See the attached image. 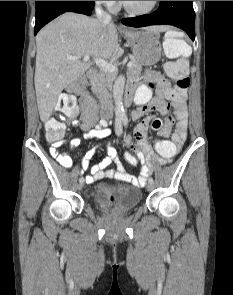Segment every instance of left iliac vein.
<instances>
[{
    "instance_id": "1",
    "label": "left iliac vein",
    "mask_w": 233,
    "mask_h": 295,
    "mask_svg": "<svg viewBox=\"0 0 233 295\" xmlns=\"http://www.w3.org/2000/svg\"><path fill=\"white\" fill-rule=\"evenodd\" d=\"M146 189H147L148 191H152V190H153V183H148V184L146 185Z\"/></svg>"
}]
</instances>
